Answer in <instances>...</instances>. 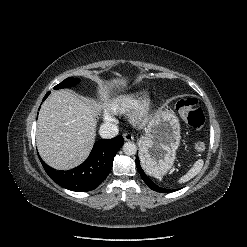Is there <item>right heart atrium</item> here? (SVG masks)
<instances>
[{
  "instance_id": "right-heart-atrium-1",
  "label": "right heart atrium",
  "mask_w": 247,
  "mask_h": 247,
  "mask_svg": "<svg viewBox=\"0 0 247 247\" xmlns=\"http://www.w3.org/2000/svg\"><path fill=\"white\" fill-rule=\"evenodd\" d=\"M106 120H111V117L109 115H105Z\"/></svg>"
}]
</instances>
